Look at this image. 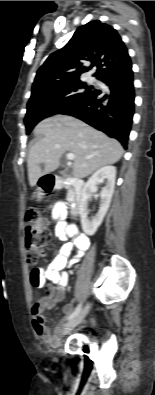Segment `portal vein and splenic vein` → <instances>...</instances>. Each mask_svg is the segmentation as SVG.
Returning <instances> with one entry per match:
<instances>
[{"label": "portal vein and splenic vein", "mask_w": 155, "mask_h": 395, "mask_svg": "<svg viewBox=\"0 0 155 395\" xmlns=\"http://www.w3.org/2000/svg\"><path fill=\"white\" fill-rule=\"evenodd\" d=\"M66 157H67L68 160H74V159H75V155L72 154V153H68V154L66 155Z\"/></svg>", "instance_id": "obj_1"}]
</instances>
